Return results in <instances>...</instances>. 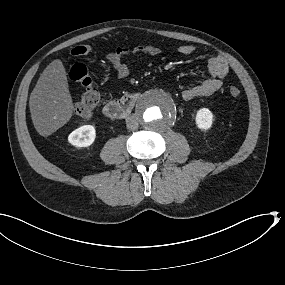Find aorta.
<instances>
[{"label":"aorta","instance_id":"1","mask_svg":"<svg viewBox=\"0 0 285 285\" xmlns=\"http://www.w3.org/2000/svg\"><path fill=\"white\" fill-rule=\"evenodd\" d=\"M138 118L141 124L151 131H164L170 128L177 118V105L174 99L164 92H151L145 95L138 105Z\"/></svg>","mask_w":285,"mask_h":285}]
</instances>
